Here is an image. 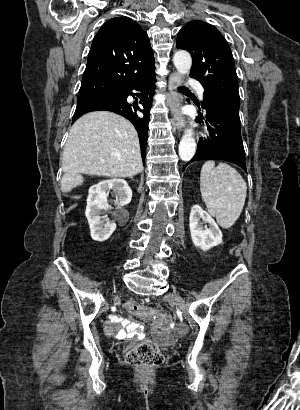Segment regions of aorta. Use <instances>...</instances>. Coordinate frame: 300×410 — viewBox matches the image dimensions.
Returning a JSON list of instances; mask_svg holds the SVG:
<instances>
[{
    "label": "aorta",
    "mask_w": 300,
    "mask_h": 410,
    "mask_svg": "<svg viewBox=\"0 0 300 410\" xmlns=\"http://www.w3.org/2000/svg\"><path fill=\"white\" fill-rule=\"evenodd\" d=\"M173 63L181 75L188 74L192 65L191 55L187 51L179 50L174 54ZM195 152L196 142L192 130L187 129L179 144V156L183 161H189Z\"/></svg>",
    "instance_id": "obj_1"
}]
</instances>
